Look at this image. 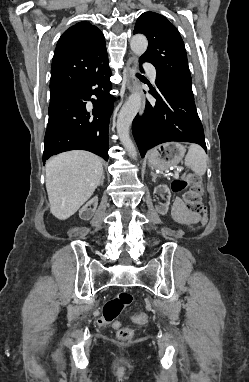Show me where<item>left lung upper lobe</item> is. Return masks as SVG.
Returning a JSON list of instances; mask_svg holds the SVG:
<instances>
[{
    "label": "left lung upper lobe",
    "mask_w": 249,
    "mask_h": 382,
    "mask_svg": "<svg viewBox=\"0 0 249 382\" xmlns=\"http://www.w3.org/2000/svg\"><path fill=\"white\" fill-rule=\"evenodd\" d=\"M133 33H142L149 41L140 59L155 66L156 84L194 98L185 46L176 27L158 13L145 12L138 18Z\"/></svg>",
    "instance_id": "obj_1"
}]
</instances>
